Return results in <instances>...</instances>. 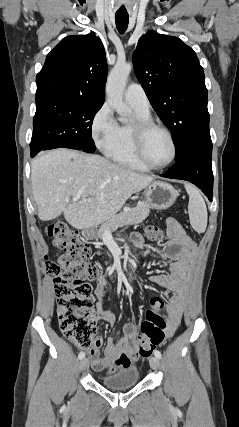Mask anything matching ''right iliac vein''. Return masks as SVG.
<instances>
[{"mask_svg":"<svg viewBox=\"0 0 239 427\" xmlns=\"http://www.w3.org/2000/svg\"><path fill=\"white\" fill-rule=\"evenodd\" d=\"M89 367V360L87 358H83L80 362V369L85 370Z\"/></svg>","mask_w":239,"mask_h":427,"instance_id":"63e3f726","label":"right iliac vein"}]
</instances>
